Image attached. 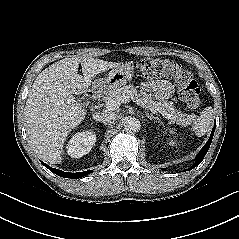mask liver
Masks as SVG:
<instances>
[{"label":"liver","mask_w":239,"mask_h":239,"mask_svg":"<svg viewBox=\"0 0 239 239\" xmlns=\"http://www.w3.org/2000/svg\"><path fill=\"white\" fill-rule=\"evenodd\" d=\"M81 63L83 76L78 74ZM120 63L97 58H65L44 69L29 91L24 115L31 147L45 162L62 161L68 134L85 118L74 94L86 93L98 74Z\"/></svg>","instance_id":"1"}]
</instances>
